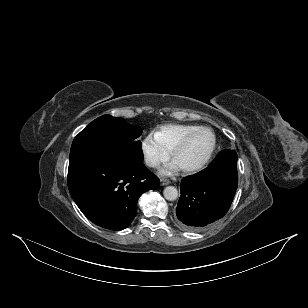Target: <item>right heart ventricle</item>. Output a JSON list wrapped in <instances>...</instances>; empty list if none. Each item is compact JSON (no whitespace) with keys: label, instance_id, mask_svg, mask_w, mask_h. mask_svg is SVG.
<instances>
[{"label":"right heart ventricle","instance_id":"right-heart-ventricle-1","mask_svg":"<svg viewBox=\"0 0 308 308\" xmlns=\"http://www.w3.org/2000/svg\"><path fill=\"white\" fill-rule=\"evenodd\" d=\"M200 127L195 124H165L154 131V137L158 143L171 153L172 149L189 132Z\"/></svg>","mask_w":308,"mask_h":308}]
</instances>
